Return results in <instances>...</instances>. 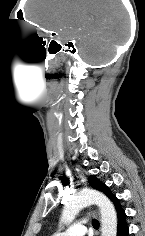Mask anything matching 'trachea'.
Masks as SVG:
<instances>
[{
    "instance_id": "1",
    "label": "trachea",
    "mask_w": 145,
    "mask_h": 236,
    "mask_svg": "<svg viewBox=\"0 0 145 236\" xmlns=\"http://www.w3.org/2000/svg\"><path fill=\"white\" fill-rule=\"evenodd\" d=\"M92 225H93L94 228H98V227H99V222H98V220H97V219H93V220H92Z\"/></svg>"
}]
</instances>
